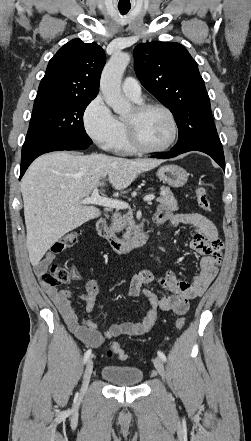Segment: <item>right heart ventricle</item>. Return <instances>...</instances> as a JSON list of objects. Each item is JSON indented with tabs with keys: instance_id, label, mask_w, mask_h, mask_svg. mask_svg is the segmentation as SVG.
I'll use <instances>...</instances> for the list:
<instances>
[{
	"instance_id": "1",
	"label": "right heart ventricle",
	"mask_w": 251,
	"mask_h": 441,
	"mask_svg": "<svg viewBox=\"0 0 251 441\" xmlns=\"http://www.w3.org/2000/svg\"><path fill=\"white\" fill-rule=\"evenodd\" d=\"M132 100L135 101L136 103L141 102V99L140 100L132 99ZM118 121L120 124V133L111 149H113L115 152L118 153H134L136 149L132 146V144L129 141L124 120H118Z\"/></svg>"
}]
</instances>
